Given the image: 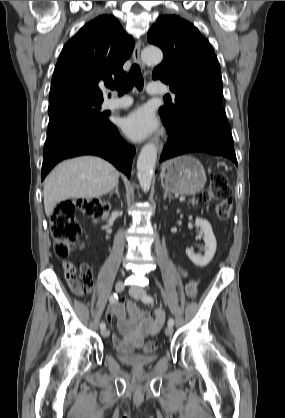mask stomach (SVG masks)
Listing matches in <instances>:
<instances>
[{
	"label": "stomach",
	"mask_w": 285,
	"mask_h": 418,
	"mask_svg": "<svg viewBox=\"0 0 285 418\" xmlns=\"http://www.w3.org/2000/svg\"><path fill=\"white\" fill-rule=\"evenodd\" d=\"M160 178L165 190L182 195H194L206 183L202 164L191 156H179L167 161L162 166Z\"/></svg>",
	"instance_id": "1"
}]
</instances>
